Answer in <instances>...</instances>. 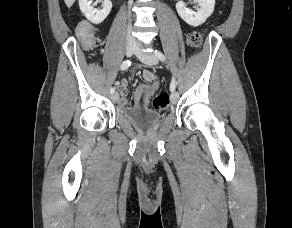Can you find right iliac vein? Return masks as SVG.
<instances>
[{"label":"right iliac vein","mask_w":292,"mask_h":228,"mask_svg":"<svg viewBox=\"0 0 292 228\" xmlns=\"http://www.w3.org/2000/svg\"><path fill=\"white\" fill-rule=\"evenodd\" d=\"M135 50H136V44L132 41H128L125 47L126 56L127 57L132 56ZM118 98H119V94L117 92L113 93L111 96V99L115 102L118 100Z\"/></svg>","instance_id":"63e3f726"}]
</instances>
